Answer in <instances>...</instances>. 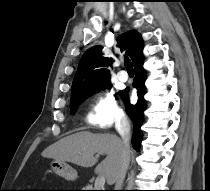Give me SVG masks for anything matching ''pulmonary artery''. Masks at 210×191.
<instances>
[{
	"mask_svg": "<svg viewBox=\"0 0 210 191\" xmlns=\"http://www.w3.org/2000/svg\"><path fill=\"white\" fill-rule=\"evenodd\" d=\"M118 79L121 81V82H126L128 80V74L127 72L125 71H120L118 72Z\"/></svg>",
	"mask_w": 210,
	"mask_h": 191,
	"instance_id": "e3ab8cb5",
	"label": "pulmonary artery"
}]
</instances>
